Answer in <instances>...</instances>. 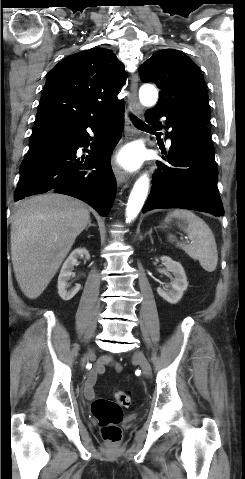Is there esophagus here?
Returning a JSON list of instances; mask_svg holds the SVG:
<instances>
[{"instance_id":"obj_1","label":"esophagus","mask_w":245,"mask_h":479,"mask_svg":"<svg viewBox=\"0 0 245 479\" xmlns=\"http://www.w3.org/2000/svg\"><path fill=\"white\" fill-rule=\"evenodd\" d=\"M137 89H138V76L133 74L131 78L130 85V103L129 110L135 115H141L143 108L137 98ZM137 133L136 128L134 127L130 117L126 115V134L128 137L134 136ZM113 171L118 183H123L129 178V173L120 167L117 163H113Z\"/></svg>"}]
</instances>
